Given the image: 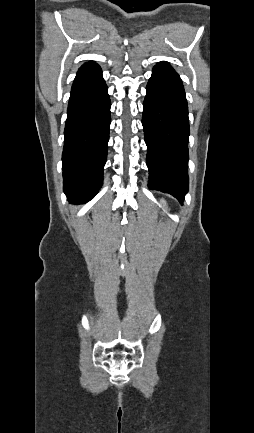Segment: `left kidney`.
I'll return each instance as SVG.
<instances>
[{"mask_svg":"<svg viewBox=\"0 0 254 433\" xmlns=\"http://www.w3.org/2000/svg\"><path fill=\"white\" fill-rule=\"evenodd\" d=\"M161 202H162L164 205H166V202H165L164 200H161Z\"/></svg>","mask_w":254,"mask_h":433,"instance_id":"5707ae66","label":"left kidney"}]
</instances>
